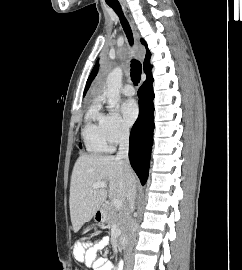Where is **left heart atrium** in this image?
Masks as SVG:
<instances>
[{
	"mask_svg": "<svg viewBox=\"0 0 242 270\" xmlns=\"http://www.w3.org/2000/svg\"><path fill=\"white\" fill-rule=\"evenodd\" d=\"M121 111L123 114L124 121L128 125H132L136 121L139 114L138 105L136 101L133 99L125 101L122 104Z\"/></svg>",
	"mask_w": 242,
	"mask_h": 270,
	"instance_id": "39dd6f15",
	"label": "left heart atrium"
}]
</instances>
